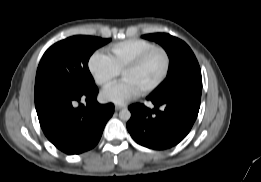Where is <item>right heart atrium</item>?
<instances>
[{
    "instance_id": "1",
    "label": "right heart atrium",
    "mask_w": 261,
    "mask_h": 182,
    "mask_svg": "<svg viewBox=\"0 0 261 182\" xmlns=\"http://www.w3.org/2000/svg\"><path fill=\"white\" fill-rule=\"evenodd\" d=\"M88 70L94 82L102 88L112 85L119 76L118 69L108 55L102 51H96L90 56Z\"/></svg>"
}]
</instances>
